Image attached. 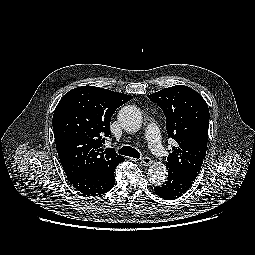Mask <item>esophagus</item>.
Instances as JSON below:
<instances>
[{
  "instance_id": "obj_1",
  "label": "esophagus",
  "mask_w": 255,
  "mask_h": 255,
  "mask_svg": "<svg viewBox=\"0 0 255 255\" xmlns=\"http://www.w3.org/2000/svg\"><path fill=\"white\" fill-rule=\"evenodd\" d=\"M152 159L150 158V157H143L142 159H141V163L143 164V165H145V166H150L151 164H152Z\"/></svg>"
}]
</instances>
